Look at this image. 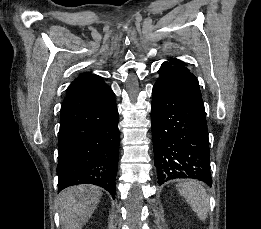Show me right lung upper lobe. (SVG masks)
Wrapping results in <instances>:
<instances>
[{"instance_id": "cb5924a9", "label": "right lung upper lobe", "mask_w": 261, "mask_h": 229, "mask_svg": "<svg viewBox=\"0 0 261 229\" xmlns=\"http://www.w3.org/2000/svg\"><path fill=\"white\" fill-rule=\"evenodd\" d=\"M96 77H98V76H96V75H91V74H89V73H83V74H81L77 79H75V80L71 83L70 87L68 88L67 94H68L70 91H72L74 88H76V87L80 86L81 84H83L84 82L89 81V80H92V79H94V78H96Z\"/></svg>"}]
</instances>
